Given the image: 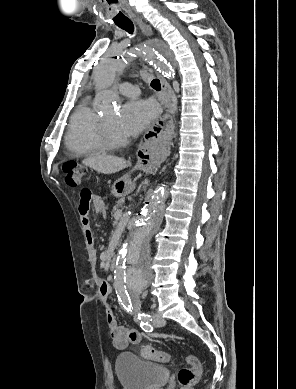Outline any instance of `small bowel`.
Masks as SVG:
<instances>
[{
  "label": "small bowel",
  "instance_id": "c3829d8e",
  "mask_svg": "<svg viewBox=\"0 0 296 389\" xmlns=\"http://www.w3.org/2000/svg\"><path fill=\"white\" fill-rule=\"evenodd\" d=\"M91 207H93L95 211L101 215H104L106 212L104 200L99 196L93 195L90 190L83 189L80 194L78 211L81 224L84 227L85 235L89 244H93L94 242L89 218ZM99 293L102 300L107 303L112 293L110 284L105 281L101 282L99 286ZM106 322L112 343L117 349L123 350L129 344H137L140 342V331L136 328H128L118 324L110 307H107L106 309Z\"/></svg>",
  "mask_w": 296,
  "mask_h": 389
}]
</instances>
